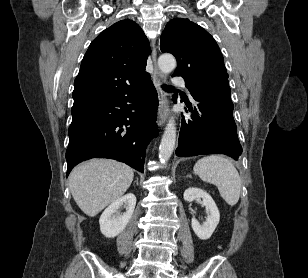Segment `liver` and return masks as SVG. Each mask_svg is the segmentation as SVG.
Listing matches in <instances>:
<instances>
[{"mask_svg":"<svg viewBox=\"0 0 308 278\" xmlns=\"http://www.w3.org/2000/svg\"><path fill=\"white\" fill-rule=\"evenodd\" d=\"M134 177L132 168L110 159H92L76 166L69 176V187L79 208L94 217L120 199Z\"/></svg>","mask_w":308,"mask_h":278,"instance_id":"obj_1","label":"liver"}]
</instances>
